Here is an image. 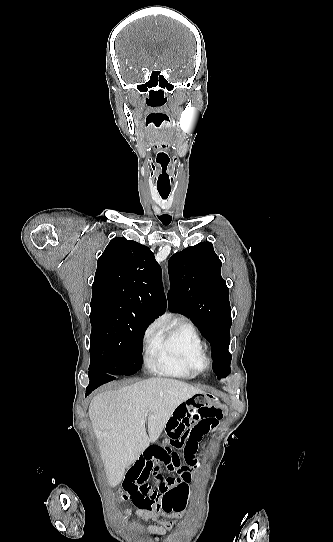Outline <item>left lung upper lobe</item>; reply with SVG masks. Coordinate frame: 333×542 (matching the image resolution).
<instances>
[{
    "label": "left lung upper lobe",
    "instance_id": "1",
    "mask_svg": "<svg viewBox=\"0 0 333 542\" xmlns=\"http://www.w3.org/2000/svg\"><path fill=\"white\" fill-rule=\"evenodd\" d=\"M221 261L210 242L175 253L168 262L171 290L169 310L192 319L210 342L218 378L230 373L231 308L229 289L221 276Z\"/></svg>",
    "mask_w": 333,
    "mask_h": 542
}]
</instances>
